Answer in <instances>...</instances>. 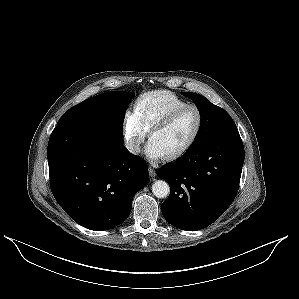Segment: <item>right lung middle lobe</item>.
<instances>
[{"label": "right lung middle lobe", "instance_id": "obj_1", "mask_svg": "<svg viewBox=\"0 0 299 299\" xmlns=\"http://www.w3.org/2000/svg\"><path fill=\"white\" fill-rule=\"evenodd\" d=\"M134 93L109 91L70 108L60 118L57 126L101 132L123 139V120Z\"/></svg>", "mask_w": 299, "mask_h": 299}]
</instances>
